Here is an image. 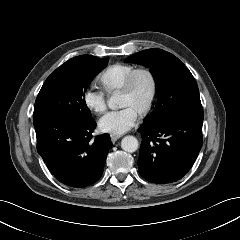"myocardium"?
<instances>
[{
	"instance_id": "f54148a6",
	"label": "myocardium",
	"mask_w": 240,
	"mask_h": 240,
	"mask_svg": "<svg viewBox=\"0 0 240 240\" xmlns=\"http://www.w3.org/2000/svg\"><path fill=\"white\" fill-rule=\"evenodd\" d=\"M140 75L148 76V78L150 79V82H151V93H150L149 99H148L146 105L139 112L140 116H145L148 113H150L151 110L153 109V107L156 103V100H157V97H158V91H159V85H158L157 77L151 69H149L147 67H143V66L135 68L128 75L124 85L122 86V88L120 89L119 92L120 93H130V92H132L134 87H135L136 79Z\"/></svg>"
}]
</instances>
